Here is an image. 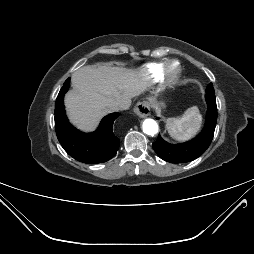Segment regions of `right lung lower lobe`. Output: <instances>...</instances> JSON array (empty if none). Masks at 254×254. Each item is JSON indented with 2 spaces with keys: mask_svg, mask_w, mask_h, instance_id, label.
<instances>
[{
  "mask_svg": "<svg viewBox=\"0 0 254 254\" xmlns=\"http://www.w3.org/2000/svg\"><path fill=\"white\" fill-rule=\"evenodd\" d=\"M68 78L61 88L55 104V130L65 151L74 159L87 163H103L111 159L119 149V139L113 132V123L120 115L111 113L105 116L93 133H83L72 126L65 113L64 94L68 91Z\"/></svg>",
  "mask_w": 254,
  "mask_h": 254,
  "instance_id": "obj_1",
  "label": "right lung lower lobe"
}]
</instances>
